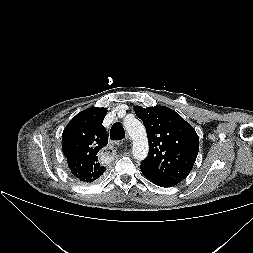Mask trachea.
Returning <instances> with one entry per match:
<instances>
[{"instance_id":"3493384b","label":"trachea","mask_w":253,"mask_h":253,"mask_svg":"<svg viewBox=\"0 0 253 253\" xmlns=\"http://www.w3.org/2000/svg\"><path fill=\"white\" fill-rule=\"evenodd\" d=\"M125 137V131L120 122L115 123L110 129L111 140H121Z\"/></svg>"}]
</instances>
